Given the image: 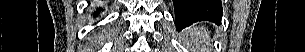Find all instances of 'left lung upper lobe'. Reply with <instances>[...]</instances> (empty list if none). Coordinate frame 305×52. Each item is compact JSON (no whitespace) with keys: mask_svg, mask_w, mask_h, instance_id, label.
Returning a JSON list of instances; mask_svg holds the SVG:
<instances>
[{"mask_svg":"<svg viewBox=\"0 0 305 52\" xmlns=\"http://www.w3.org/2000/svg\"><path fill=\"white\" fill-rule=\"evenodd\" d=\"M207 13L198 9L185 10L182 13L176 15L175 24L179 25H190L194 22L205 20Z\"/></svg>","mask_w":305,"mask_h":52,"instance_id":"5c2ea615","label":"left lung upper lobe"}]
</instances>
